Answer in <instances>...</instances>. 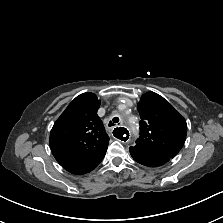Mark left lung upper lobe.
<instances>
[{"mask_svg":"<svg viewBox=\"0 0 223 223\" xmlns=\"http://www.w3.org/2000/svg\"><path fill=\"white\" fill-rule=\"evenodd\" d=\"M137 109L141 121L136 146L170 158L175 157L185 142V119L167 100L154 92L143 94Z\"/></svg>","mask_w":223,"mask_h":223,"instance_id":"obj_1","label":"left lung upper lobe"}]
</instances>
